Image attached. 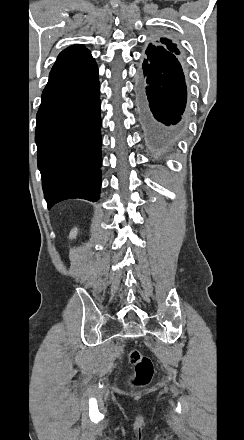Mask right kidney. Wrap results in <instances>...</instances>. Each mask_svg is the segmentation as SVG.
Returning <instances> with one entry per match:
<instances>
[{
    "mask_svg": "<svg viewBox=\"0 0 244 440\" xmlns=\"http://www.w3.org/2000/svg\"><path fill=\"white\" fill-rule=\"evenodd\" d=\"M77 234H78L77 228H73V230H71V232L69 234L70 240H73V238H76Z\"/></svg>",
    "mask_w": 244,
    "mask_h": 440,
    "instance_id": "ca27d5eb",
    "label": "right kidney"
}]
</instances>
